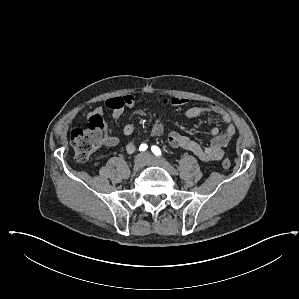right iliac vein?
Segmentation results:
<instances>
[{
  "mask_svg": "<svg viewBox=\"0 0 299 299\" xmlns=\"http://www.w3.org/2000/svg\"><path fill=\"white\" fill-rule=\"evenodd\" d=\"M146 164V159L144 155L139 154L136 156L133 164V171L138 172L140 171Z\"/></svg>",
  "mask_w": 299,
  "mask_h": 299,
  "instance_id": "right-iliac-vein-1",
  "label": "right iliac vein"
}]
</instances>
